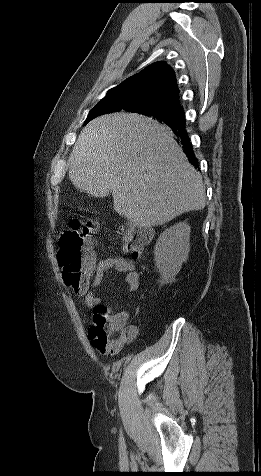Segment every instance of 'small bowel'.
Listing matches in <instances>:
<instances>
[{
  "instance_id": "1",
  "label": "small bowel",
  "mask_w": 261,
  "mask_h": 476,
  "mask_svg": "<svg viewBox=\"0 0 261 476\" xmlns=\"http://www.w3.org/2000/svg\"><path fill=\"white\" fill-rule=\"evenodd\" d=\"M110 270H115L124 274V279L129 292L136 291L139 287V275L134 264L130 260L121 256H108L96 262L93 258V279L91 283L88 284L85 289L76 291L83 297L84 305L93 311L101 305V299L96 294V291L100 288L105 275ZM128 319L129 314L126 311L118 312L109 319V325L111 328L122 331L125 334L124 345L132 340L138 332L135 325H127ZM120 349L115 352H118Z\"/></svg>"
}]
</instances>
